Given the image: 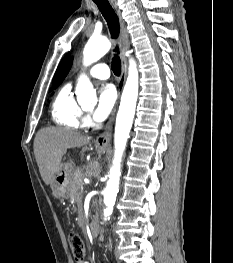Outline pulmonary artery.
Segmentation results:
<instances>
[{"instance_id": "e3ab8cb5", "label": "pulmonary artery", "mask_w": 233, "mask_h": 263, "mask_svg": "<svg viewBox=\"0 0 233 263\" xmlns=\"http://www.w3.org/2000/svg\"><path fill=\"white\" fill-rule=\"evenodd\" d=\"M88 74L91 77L106 80L110 77V69L105 63H97L89 69Z\"/></svg>"}]
</instances>
